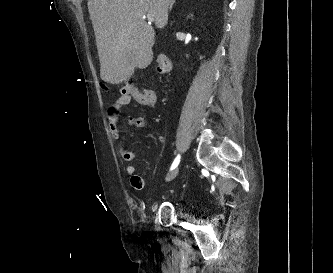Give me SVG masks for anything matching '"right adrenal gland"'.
Returning a JSON list of instances; mask_svg holds the SVG:
<instances>
[{
  "label": "right adrenal gland",
  "mask_w": 333,
  "mask_h": 273,
  "mask_svg": "<svg viewBox=\"0 0 333 273\" xmlns=\"http://www.w3.org/2000/svg\"><path fill=\"white\" fill-rule=\"evenodd\" d=\"M174 3H175V0L172 1L171 5H170V7H169V10H170V11H171V9H172Z\"/></svg>",
  "instance_id": "1"
}]
</instances>
